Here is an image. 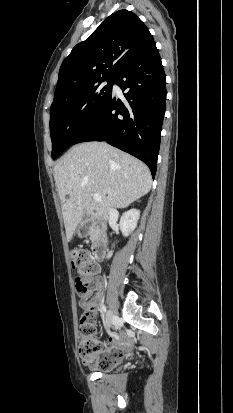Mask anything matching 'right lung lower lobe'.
I'll list each match as a JSON object with an SVG mask.
<instances>
[{
  "label": "right lung lower lobe",
  "mask_w": 233,
  "mask_h": 413,
  "mask_svg": "<svg viewBox=\"0 0 233 413\" xmlns=\"http://www.w3.org/2000/svg\"><path fill=\"white\" fill-rule=\"evenodd\" d=\"M113 81L126 91V100L112 94L73 144L106 141L146 163L154 178L166 104V78L155 42L124 64Z\"/></svg>",
  "instance_id": "right-lung-lower-lobe-1"
}]
</instances>
